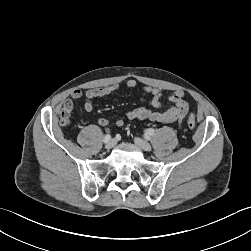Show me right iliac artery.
<instances>
[{
    "mask_svg": "<svg viewBox=\"0 0 251 251\" xmlns=\"http://www.w3.org/2000/svg\"><path fill=\"white\" fill-rule=\"evenodd\" d=\"M110 140H111V135H110V134H107V135L104 137L103 142H104V143H107V142H109Z\"/></svg>",
    "mask_w": 251,
    "mask_h": 251,
    "instance_id": "82829eb1",
    "label": "right iliac artery"
}]
</instances>
